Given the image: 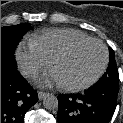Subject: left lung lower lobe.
Segmentation results:
<instances>
[{
  "label": "left lung lower lobe",
  "instance_id": "left-lung-lower-lobe-1",
  "mask_svg": "<svg viewBox=\"0 0 123 123\" xmlns=\"http://www.w3.org/2000/svg\"><path fill=\"white\" fill-rule=\"evenodd\" d=\"M119 87L94 85L83 94L58 95V123H109Z\"/></svg>",
  "mask_w": 123,
  "mask_h": 123
}]
</instances>
